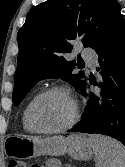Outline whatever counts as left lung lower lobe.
<instances>
[{"label":"left lung lower lobe","mask_w":125,"mask_h":167,"mask_svg":"<svg viewBox=\"0 0 125 167\" xmlns=\"http://www.w3.org/2000/svg\"><path fill=\"white\" fill-rule=\"evenodd\" d=\"M95 51L100 65L97 70L103 78L99 83L102 104L99 107L91 93L82 120L69 132L103 134L125 145V23L122 15Z\"/></svg>","instance_id":"obj_1"}]
</instances>
